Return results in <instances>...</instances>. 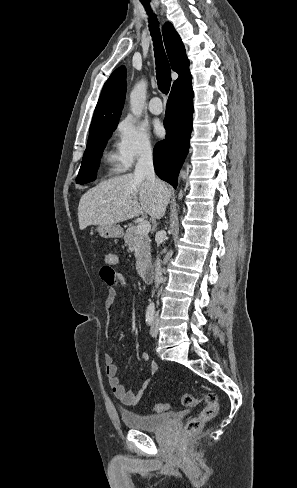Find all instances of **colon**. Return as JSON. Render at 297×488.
<instances>
[{"label":"colon","mask_w":297,"mask_h":488,"mask_svg":"<svg viewBox=\"0 0 297 488\" xmlns=\"http://www.w3.org/2000/svg\"><path fill=\"white\" fill-rule=\"evenodd\" d=\"M107 259L108 258L104 256V261ZM100 277L108 286L114 282V270L110 264L104 262V265L100 269ZM181 401L184 406H196L201 402L204 403V408L201 412L187 422L185 426V431L187 433L200 431L207 422L217 415L219 410L218 397L213 392L206 393L201 397L185 393L183 394ZM168 408L169 405L167 403H160L155 405L153 410L155 412H163Z\"/></svg>","instance_id":"1"}]
</instances>
